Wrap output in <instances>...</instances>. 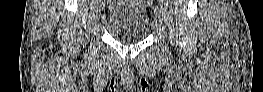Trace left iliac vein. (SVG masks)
Listing matches in <instances>:
<instances>
[{
	"label": "left iliac vein",
	"mask_w": 263,
	"mask_h": 92,
	"mask_svg": "<svg viewBox=\"0 0 263 92\" xmlns=\"http://www.w3.org/2000/svg\"><path fill=\"white\" fill-rule=\"evenodd\" d=\"M162 3L163 0H156V2L153 3V6L155 7L154 17L158 18L160 22L162 21Z\"/></svg>",
	"instance_id": "obj_1"
}]
</instances>
